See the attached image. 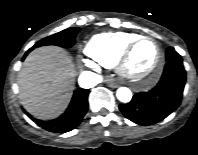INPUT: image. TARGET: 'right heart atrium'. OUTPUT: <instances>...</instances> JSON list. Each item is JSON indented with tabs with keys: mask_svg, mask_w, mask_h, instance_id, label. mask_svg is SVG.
Listing matches in <instances>:
<instances>
[{
	"mask_svg": "<svg viewBox=\"0 0 198 155\" xmlns=\"http://www.w3.org/2000/svg\"><path fill=\"white\" fill-rule=\"evenodd\" d=\"M84 63L90 68H93V69L97 68V65H96V63L94 61L84 60Z\"/></svg>",
	"mask_w": 198,
	"mask_h": 155,
	"instance_id": "right-heart-atrium-1",
	"label": "right heart atrium"
}]
</instances>
